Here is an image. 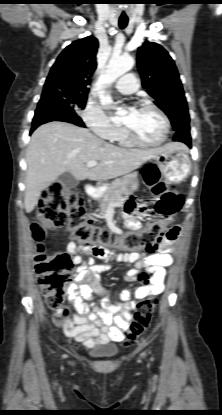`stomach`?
Listing matches in <instances>:
<instances>
[{"mask_svg": "<svg viewBox=\"0 0 222 415\" xmlns=\"http://www.w3.org/2000/svg\"><path fill=\"white\" fill-rule=\"evenodd\" d=\"M153 159L162 175L170 182L180 183L190 173L191 162L186 149H167Z\"/></svg>", "mask_w": 222, "mask_h": 415, "instance_id": "0dacf381", "label": "stomach"}]
</instances>
